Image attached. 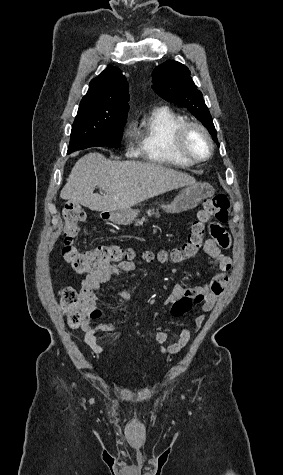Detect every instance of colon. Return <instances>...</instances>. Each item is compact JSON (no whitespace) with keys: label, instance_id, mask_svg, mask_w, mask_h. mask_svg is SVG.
<instances>
[{"label":"colon","instance_id":"colon-1","mask_svg":"<svg viewBox=\"0 0 283 475\" xmlns=\"http://www.w3.org/2000/svg\"><path fill=\"white\" fill-rule=\"evenodd\" d=\"M86 219L83 208L74 202H67L63 209V235L64 242L61 248V256L78 275H88L98 268L108 264H122L126 262L131 268L132 252L117 246L97 245L94 248L82 252L76 245L75 240L81 234V224ZM229 219V203L226 194L220 193L209 198L203 205L199 219L193 222L185 242L170 253L171 259L182 261L193 259L201 251L207 232V225L211 220L218 224L227 223ZM80 292L74 287L65 286L60 294L59 301L66 315V322L70 328L81 325V317L78 306L86 303L85 298L79 297ZM192 299L183 297L176 305L171 307L173 314H187L192 306Z\"/></svg>","mask_w":283,"mask_h":475}]
</instances>
